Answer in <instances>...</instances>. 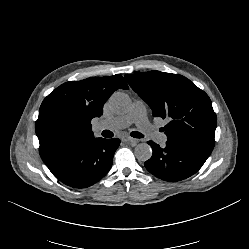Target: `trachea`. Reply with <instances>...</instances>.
I'll use <instances>...</instances> for the list:
<instances>
[{
	"instance_id": "obj_1",
	"label": "trachea",
	"mask_w": 249,
	"mask_h": 249,
	"mask_svg": "<svg viewBox=\"0 0 249 249\" xmlns=\"http://www.w3.org/2000/svg\"><path fill=\"white\" fill-rule=\"evenodd\" d=\"M130 135H131L132 137H134V138H142V137H143V135H142L140 132H137V131H132V132L130 133ZM102 136H103V137H113V136H114V133L111 132V131H109V130H104V131L102 132Z\"/></svg>"
}]
</instances>
